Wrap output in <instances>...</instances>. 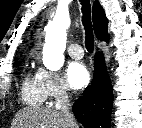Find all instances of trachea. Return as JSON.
I'll return each instance as SVG.
<instances>
[{
  "label": "trachea",
  "mask_w": 142,
  "mask_h": 128,
  "mask_svg": "<svg viewBox=\"0 0 142 128\" xmlns=\"http://www.w3.org/2000/svg\"><path fill=\"white\" fill-rule=\"evenodd\" d=\"M82 4V23L85 29V46L89 53L94 50V35L91 22L90 0H80Z\"/></svg>",
  "instance_id": "obj_1"
}]
</instances>
